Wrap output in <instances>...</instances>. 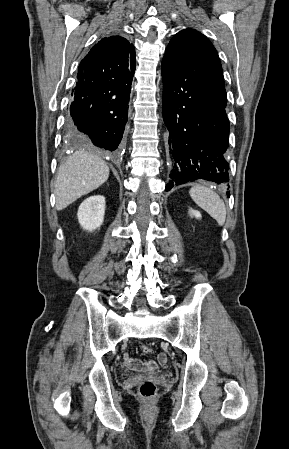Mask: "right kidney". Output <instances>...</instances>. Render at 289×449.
Wrapping results in <instances>:
<instances>
[{"mask_svg": "<svg viewBox=\"0 0 289 449\" xmlns=\"http://www.w3.org/2000/svg\"><path fill=\"white\" fill-rule=\"evenodd\" d=\"M105 215V197L93 195L85 199L79 206L77 218L84 230L94 231L103 223Z\"/></svg>", "mask_w": 289, "mask_h": 449, "instance_id": "right-kidney-1", "label": "right kidney"}]
</instances>
